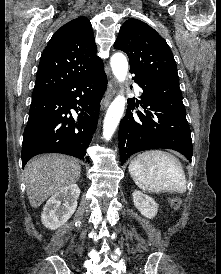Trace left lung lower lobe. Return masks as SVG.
<instances>
[{"mask_svg":"<svg viewBox=\"0 0 221 274\" xmlns=\"http://www.w3.org/2000/svg\"><path fill=\"white\" fill-rule=\"evenodd\" d=\"M130 72L135 74L133 80L143 93L139 102L128 100L126 115L119 126L122 165L132 154L154 148L176 150L191 162V132L182 93L158 86L146 75ZM135 105L141 109L137 110Z\"/></svg>","mask_w":221,"mask_h":274,"instance_id":"obj_1","label":"left lung lower lobe"}]
</instances>
